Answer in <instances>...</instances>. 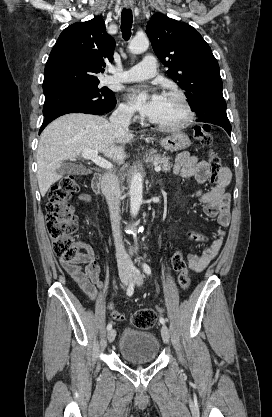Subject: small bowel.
<instances>
[{"label": "small bowel", "instance_id": "small-bowel-1", "mask_svg": "<svg viewBox=\"0 0 272 417\" xmlns=\"http://www.w3.org/2000/svg\"><path fill=\"white\" fill-rule=\"evenodd\" d=\"M175 174H179L188 184L193 180L197 184H204L211 176L209 164L197 156H191L186 152L180 153L173 168ZM231 181V173L223 167L218 174L216 185L209 191L193 188L194 195L202 202L204 213L211 218H216L218 227L215 239L202 251L201 254H190L187 257V267L199 273L203 271L212 259L220 251L226 236L225 228L230 224V196L227 193ZM90 202L88 195L82 194L77 199V204ZM188 237L194 241H203L204 237L195 231H189ZM77 245L86 252L79 255L78 262L66 263L61 259L62 265L80 289L91 299L97 300L101 290L106 285L100 278V266L98 254L86 241L80 240ZM161 311V309H159Z\"/></svg>", "mask_w": 272, "mask_h": 417}]
</instances>
